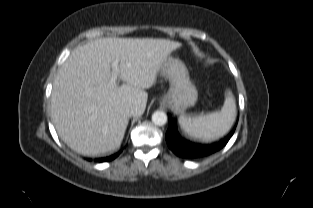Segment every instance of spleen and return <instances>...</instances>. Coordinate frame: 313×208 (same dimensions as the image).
<instances>
[{
  "label": "spleen",
  "mask_w": 313,
  "mask_h": 208,
  "mask_svg": "<svg viewBox=\"0 0 313 208\" xmlns=\"http://www.w3.org/2000/svg\"><path fill=\"white\" fill-rule=\"evenodd\" d=\"M235 115V100L231 91H227L220 111L196 117L180 116L179 125L186 136L208 142L223 136L231 127Z\"/></svg>",
  "instance_id": "1"
}]
</instances>
